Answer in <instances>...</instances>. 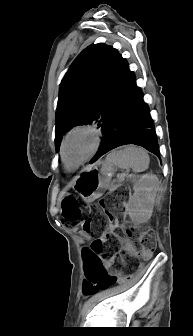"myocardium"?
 I'll use <instances>...</instances> for the list:
<instances>
[{
  "label": "myocardium",
  "instance_id": "myocardium-1",
  "mask_svg": "<svg viewBox=\"0 0 193 336\" xmlns=\"http://www.w3.org/2000/svg\"><path fill=\"white\" fill-rule=\"evenodd\" d=\"M77 132H87V133L91 134L92 137H93V147H92L90 153L82 161H80L78 164H76L74 166H71L66 160L65 146H66V143L69 140V138ZM101 142H102V134L94 126H91V125H77V126L71 128L65 134V136L63 137L61 145H60V155H61V159H62L65 167L69 170H75V169L79 168L80 166H82L83 164H85L86 162H88L99 150Z\"/></svg>",
  "mask_w": 193,
  "mask_h": 336
}]
</instances>
